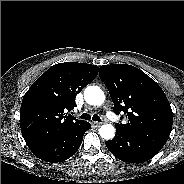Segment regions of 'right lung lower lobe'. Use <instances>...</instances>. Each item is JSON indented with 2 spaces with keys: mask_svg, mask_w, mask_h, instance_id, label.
Listing matches in <instances>:
<instances>
[{
  "mask_svg": "<svg viewBox=\"0 0 184 184\" xmlns=\"http://www.w3.org/2000/svg\"><path fill=\"white\" fill-rule=\"evenodd\" d=\"M90 128V123H87L80 130L68 135L55 137L28 147L37 158L43 161L61 162L75 154L82 143L84 133Z\"/></svg>",
  "mask_w": 184,
  "mask_h": 184,
  "instance_id": "right-lung-lower-lobe-1",
  "label": "right lung lower lobe"
}]
</instances>
